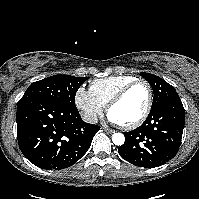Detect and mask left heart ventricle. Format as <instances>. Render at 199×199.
<instances>
[{"instance_id":"left-heart-ventricle-1","label":"left heart ventricle","mask_w":199,"mask_h":199,"mask_svg":"<svg viewBox=\"0 0 199 199\" xmlns=\"http://www.w3.org/2000/svg\"><path fill=\"white\" fill-rule=\"evenodd\" d=\"M147 99L148 91L146 86L138 84L130 89L123 100L110 110V114L119 123H130L141 116L145 110Z\"/></svg>"}]
</instances>
